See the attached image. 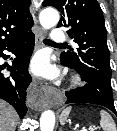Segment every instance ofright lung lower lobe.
<instances>
[{"label": "right lung lower lobe", "instance_id": "1", "mask_svg": "<svg viewBox=\"0 0 117 131\" xmlns=\"http://www.w3.org/2000/svg\"><path fill=\"white\" fill-rule=\"evenodd\" d=\"M34 44V34L30 32L18 40L0 47V57L5 60L8 56L3 53L4 50L13 52L16 56L12 65H0V98L10 103L17 110L20 118H23L27 111L26 91L32 80L28 73V65ZM6 70L11 72L10 76L5 74Z\"/></svg>", "mask_w": 117, "mask_h": 131}]
</instances>
